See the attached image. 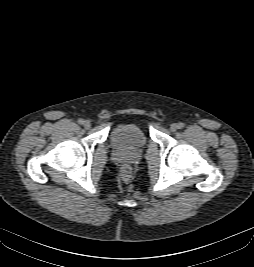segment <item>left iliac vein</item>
<instances>
[{"mask_svg": "<svg viewBox=\"0 0 254 267\" xmlns=\"http://www.w3.org/2000/svg\"><path fill=\"white\" fill-rule=\"evenodd\" d=\"M177 129H178V124H176V123L171 124V126H170V130H171L172 132H175Z\"/></svg>", "mask_w": 254, "mask_h": 267, "instance_id": "left-iliac-vein-1", "label": "left iliac vein"}]
</instances>
